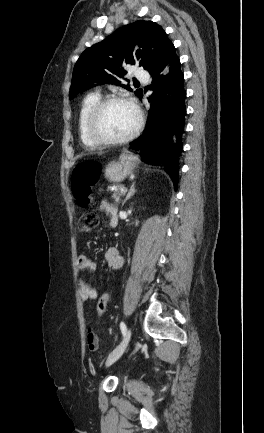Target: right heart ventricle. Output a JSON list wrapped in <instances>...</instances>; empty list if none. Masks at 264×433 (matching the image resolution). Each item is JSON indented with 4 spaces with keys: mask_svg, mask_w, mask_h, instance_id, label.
Listing matches in <instances>:
<instances>
[{
    "mask_svg": "<svg viewBox=\"0 0 264 433\" xmlns=\"http://www.w3.org/2000/svg\"><path fill=\"white\" fill-rule=\"evenodd\" d=\"M100 100L101 95L99 92H91L83 98L79 108L77 118L78 134L82 144L85 146L96 145L87 134L86 121L90 111Z\"/></svg>",
    "mask_w": 264,
    "mask_h": 433,
    "instance_id": "e07e8e85",
    "label": "right heart ventricle"
}]
</instances>
